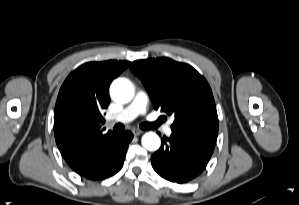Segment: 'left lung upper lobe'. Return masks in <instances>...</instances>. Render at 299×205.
I'll return each instance as SVG.
<instances>
[{
	"label": "left lung upper lobe",
	"instance_id": "left-lung-upper-lobe-1",
	"mask_svg": "<svg viewBox=\"0 0 299 205\" xmlns=\"http://www.w3.org/2000/svg\"><path fill=\"white\" fill-rule=\"evenodd\" d=\"M130 69L143 82L154 108L174 115L172 130H218L211 88L192 66L156 58L134 61Z\"/></svg>",
	"mask_w": 299,
	"mask_h": 205
}]
</instances>
